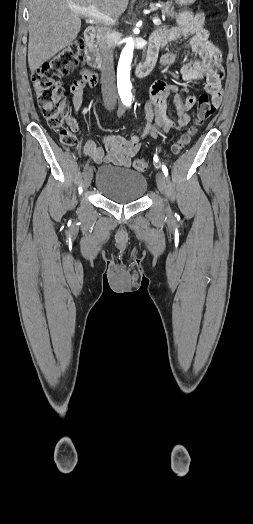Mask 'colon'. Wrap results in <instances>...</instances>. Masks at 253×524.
Segmentation results:
<instances>
[{
	"instance_id": "1",
	"label": "colon",
	"mask_w": 253,
	"mask_h": 524,
	"mask_svg": "<svg viewBox=\"0 0 253 524\" xmlns=\"http://www.w3.org/2000/svg\"><path fill=\"white\" fill-rule=\"evenodd\" d=\"M84 48V38L79 37L73 40L58 54L43 63L31 76L33 90L47 124L51 129L58 132L60 142L67 147L76 143V136L66 126L67 105L60 80L81 63ZM98 83L99 78L95 73L82 72V76H76L69 80L68 91L72 95L82 97L86 90H90L92 86H96ZM214 112V107L208 95H200L194 125L173 144L172 152L178 154L183 150L196 133L197 126L210 119ZM134 166L138 171L148 169V163L144 159L136 160Z\"/></svg>"
}]
</instances>
